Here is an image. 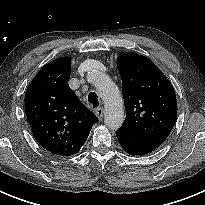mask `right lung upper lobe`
Instances as JSON below:
<instances>
[{"label": "right lung upper lobe", "mask_w": 205, "mask_h": 205, "mask_svg": "<svg viewBox=\"0 0 205 205\" xmlns=\"http://www.w3.org/2000/svg\"><path fill=\"white\" fill-rule=\"evenodd\" d=\"M71 59L60 57L43 66L25 93V113L37 142L60 156L79 152L97 117L68 85Z\"/></svg>", "instance_id": "right-lung-upper-lobe-1"}]
</instances>
